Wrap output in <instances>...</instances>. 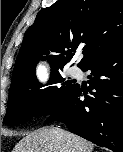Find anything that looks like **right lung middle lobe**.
I'll return each mask as SVG.
<instances>
[{"instance_id": "dd1d6c3e", "label": "right lung middle lobe", "mask_w": 123, "mask_h": 152, "mask_svg": "<svg viewBox=\"0 0 123 152\" xmlns=\"http://www.w3.org/2000/svg\"><path fill=\"white\" fill-rule=\"evenodd\" d=\"M64 79L58 70L53 71L48 85L61 83ZM37 79L23 83L16 91L9 94L4 123L16 126L27 122L34 116H46L60 110L76 89L73 81L63 82L60 87L43 88Z\"/></svg>"}]
</instances>
